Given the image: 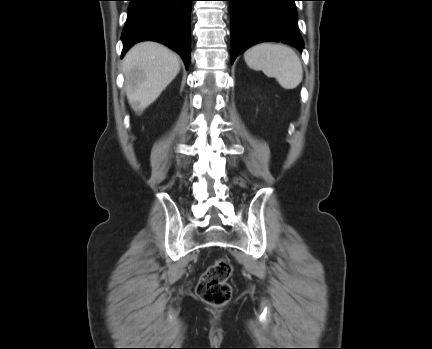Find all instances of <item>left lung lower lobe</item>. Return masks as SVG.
Instances as JSON below:
<instances>
[{"label": "left lung lower lobe", "mask_w": 432, "mask_h": 349, "mask_svg": "<svg viewBox=\"0 0 432 349\" xmlns=\"http://www.w3.org/2000/svg\"><path fill=\"white\" fill-rule=\"evenodd\" d=\"M231 9V63L261 42H283L302 51L296 0H228Z\"/></svg>", "instance_id": "obj_1"}]
</instances>
